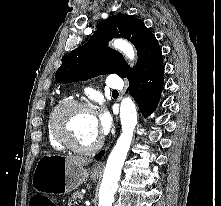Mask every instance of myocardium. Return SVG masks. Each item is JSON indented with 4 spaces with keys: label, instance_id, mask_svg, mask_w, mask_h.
Here are the masks:
<instances>
[{
    "label": "myocardium",
    "instance_id": "obj_1",
    "mask_svg": "<svg viewBox=\"0 0 221 206\" xmlns=\"http://www.w3.org/2000/svg\"><path fill=\"white\" fill-rule=\"evenodd\" d=\"M73 109H85L92 112V107L84 101L75 100V99L66 100L61 104H59L52 114L51 117L52 132L56 137V139L61 144H63L67 149L78 154H84V155L92 154L100 148L103 139L101 136H99L98 139L91 146L88 147L79 146L75 142L72 133L69 129V126L67 124V117Z\"/></svg>",
    "mask_w": 221,
    "mask_h": 206
}]
</instances>
